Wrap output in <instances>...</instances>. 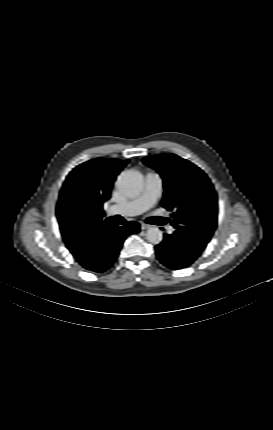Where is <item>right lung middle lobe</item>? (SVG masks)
Here are the masks:
<instances>
[{
    "mask_svg": "<svg viewBox=\"0 0 273 430\" xmlns=\"http://www.w3.org/2000/svg\"><path fill=\"white\" fill-rule=\"evenodd\" d=\"M85 217L86 213L83 205L80 202H76L70 208L69 213L67 215V220L70 224L77 226L83 223Z\"/></svg>",
    "mask_w": 273,
    "mask_h": 430,
    "instance_id": "obj_1",
    "label": "right lung middle lobe"
}]
</instances>
